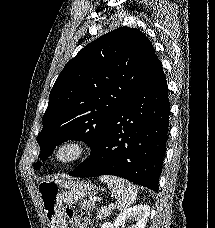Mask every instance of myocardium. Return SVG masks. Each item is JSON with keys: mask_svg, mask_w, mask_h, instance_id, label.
<instances>
[{"mask_svg": "<svg viewBox=\"0 0 215 228\" xmlns=\"http://www.w3.org/2000/svg\"><path fill=\"white\" fill-rule=\"evenodd\" d=\"M88 151V144L81 138H68L58 142L50 152V160L56 165L78 161Z\"/></svg>", "mask_w": 215, "mask_h": 228, "instance_id": "1", "label": "myocardium"}]
</instances>
